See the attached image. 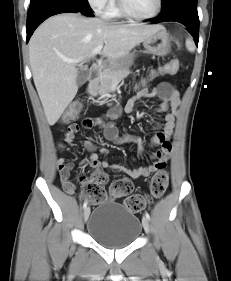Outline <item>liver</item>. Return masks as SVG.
<instances>
[{"mask_svg":"<svg viewBox=\"0 0 231 281\" xmlns=\"http://www.w3.org/2000/svg\"><path fill=\"white\" fill-rule=\"evenodd\" d=\"M163 28L114 24L74 13L55 15L44 21L30 39L29 60L49 125L59 120L78 90L77 63L66 60L94 56L91 51L105 44L101 55L114 64Z\"/></svg>","mask_w":231,"mask_h":281,"instance_id":"liver-1","label":"liver"}]
</instances>
